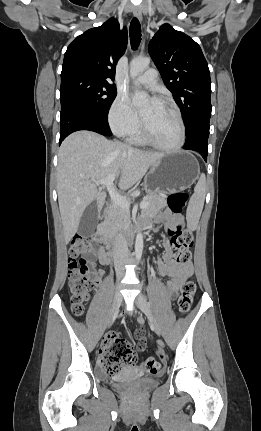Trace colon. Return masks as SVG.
Returning a JSON list of instances; mask_svg holds the SVG:
<instances>
[{"instance_id":"colon-1","label":"colon","mask_w":261,"mask_h":431,"mask_svg":"<svg viewBox=\"0 0 261 431\" xmlns=\"http://www.w3.org/2000/svg\"><path fill=\"white\" fill-rule=\"evenodd\" d=\"M188 194L176 192L169 196V206L174 213L181 212L187 204ZM168 234L175 250L173 260L180 265L188 264L191 260L189 248L193 244V235L180 226L169 229ZM91 250L90 242L81 237L74 236L69 243V291L71 294L72 310L75 315H82L85 310L89 294L94 286L90 278V263L86 255ZM196 292V284L186 281L178 298L179 311L185 314L189 311L193 296ZM158 348L163 349V343H158ZM101 362L108 374H116L124 364L131 363L134 357L132 342L121 338L115 333L107 336L106 342L101 347ZM168 359L164 350H158L154 357L140 362L139 370L142 373H154V377H160L162 366H167Z\"/></svg>"}]
</instances>
